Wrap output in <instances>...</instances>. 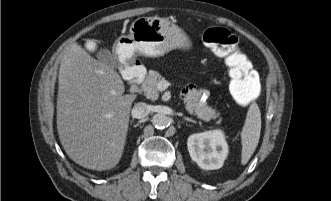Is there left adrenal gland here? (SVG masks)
<instances>
[{
  "mask_svg": "<svg viewBox=\"0 0 331 201\" xmlns=\"http://www.w3.org/2000/svg\"><path fill=\"white\" fill-rule=\"evenodd\" d=\"M183 119H184V121H188V122H192V123H197L195 120H193L191 118H188V117H184Z\"/></svg>",
  "mask_w": 331,
  "mask_h": 201,
  "instance_id": "a2214340",
  "label": "left adrenal gland"
}]
</instances>
